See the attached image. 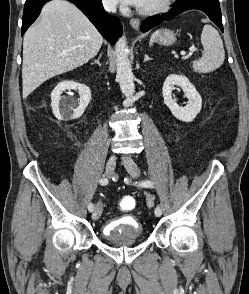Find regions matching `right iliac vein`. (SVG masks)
Returning <instances> with one entry per match:
<instances>
[{"mask_svg": "<svg viewBox=\"0 0 249 294\" xmlns=\"http://www.w3.org/2000/svg\"><path fill=\"white\" fill-rule=\"evenodd\" d=\"M116 167V157L114 155H111L106 163V168H105V174L108 178L112 177ZM103 211V205L101 202H98L95 210L92 214V219L93 220H98Z\"/></svg>", "mask_w": 249, "mask_h": 294, "instance_id": "1", "label": "right iliac vein"}]
</instances>
